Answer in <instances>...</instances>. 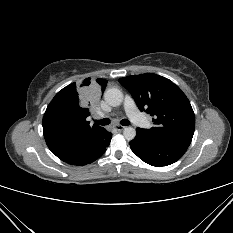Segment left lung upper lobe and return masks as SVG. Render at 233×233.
I'll use <instances>...</instances> for the list:
<instances>
[{
  "label": "left lung upper lobe",
  "mask_w": 233,
  "mask_h": 233,
  "mask_svg": "<svg viewBox=\"0 0 233 233\" xmlns=\"http://www.w3.org/2000/svg\"><path fill=\"white\" fill-rule=\"evenodd\" d=\"M137 106L154 116L151 129H142L152 139L188 148L195 129V115L189 100L169 79L145 73L119 79Z\"/></svg>",
  "instance_id": "1"
}]
</instances>
